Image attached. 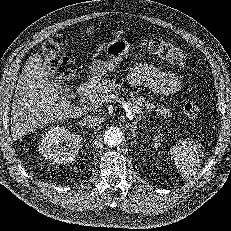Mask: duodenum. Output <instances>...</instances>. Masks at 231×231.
<instances>
[{"mask_svg": "<svg viewBox=\"0 0 231 231\" xmlns=\"http://www.w3.org/2000/svg\"><path fill=\"white\" fill-rule=\"evenodd\" d=\"M93 81H86L84 83H82L81 85H79L78 89H77V93H78V96L80 98H85L87 97L88 95H90V93L92 92V89H93Z\"/></svg>", "mask_w": 231, "mask_h": 231, "instance_id": "410a0bca", "label": "duodenum"}]
</instances>
